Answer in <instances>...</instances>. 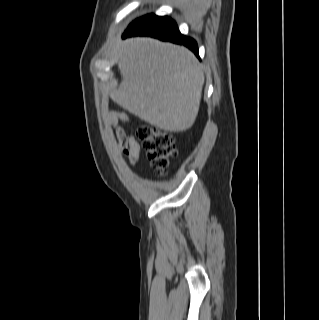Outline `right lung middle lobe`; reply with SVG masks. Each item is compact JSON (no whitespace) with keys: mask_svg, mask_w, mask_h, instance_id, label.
Listing matches in <instances>:
<instances>
[{"mask_svg":"<svg viewBox=\"0 0 319 320\" xmlns=\"http://www.w3.org/2000/svg\"><path fill=\"white\" fill-rule=\"evenodd\" d=\"M153 16L155 15H147V16H144V17H141L137 20H135L133 23H131V25L128 27V28H135L137 27L138 25L144 23L145 21H147L148 19L152 18Z\"/></svg>","mask_w":319,"mask_h":320,"instance_id":"1","label":"right lung middle lobe"}]
</instances>
